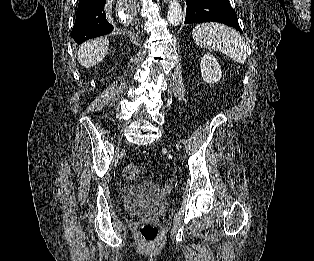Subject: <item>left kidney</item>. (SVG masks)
I'll return each instance as SVG.
<instances>
[{"label": "left kidney", "mask_w": 314, "mask_h": 261, "mask_svg": "<svg viewBox=\"0 0 314 261\" xmlns=\"http://www.w3.org/2000/svg\"><path fill=\"white\" fill-rule=\"evenodd\" d=\"M200 68L204 82L213 84L220 81L222 76L221 68L213 55L205 54L201 60Z\"/></svg>", "instance_id": "left-kidney-1"}]
</instances>
